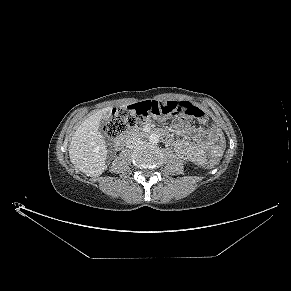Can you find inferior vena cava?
Here are the masks:
<instances>
[{
  "mask_svg": "<svg viewBox=\"0 0 291 291\" xmlns=\"http://www.w3.org/2000/svg\"><path fill=\"white\" fill-rule=\"evenodd\" d=\"M140 144H141V139L137 136H131L126 141V145L128 148H134Z\"/></svg>",
  "mask_w": 291,
  "mask_h": 291,
  "instance_id": "inferior-vena-cava-1",
  "label": "inferior vena cava"
}]
</instances>
